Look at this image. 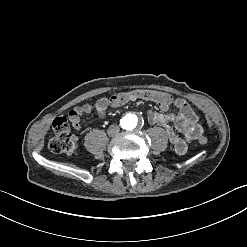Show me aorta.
<instances>
[{
  "label": "aorta",
  "instance_id": "762f6f07",
  "mask_svg": "<svg viewBox=\"0 0 247 247\" xmlns=\"http://www.w3.org/2000/svg\"><path fill=\"white\" fill-rule=\"evenodd\" d=\"M137 124V118L135 116L125 119L124 121V127L127 129L134 128Z\"/></svg>",
  "mask_w": 247,
  "mask_h": 247
}]
</instances>
